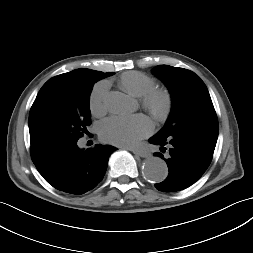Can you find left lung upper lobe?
I'll list each match as a JSON object with an SVG mask.
<instances>
[{"label":"left lung upper lobe","instance_id":"5c2ea615","mask_svg":"<svg viewBox=\"0 0 253 253\" xmlns=\"http://www.w3.org/2000/svg\"><path fill=\"white\" fill-rule=\"evenodd\" d=\"M170 90L172 111L165 126L155 136L167 138L202 129L218 136V120L209 92L194 72L160 65L152 71Z\"/></svg>","mask_w":253,"mask_h":253}]
</instances>
